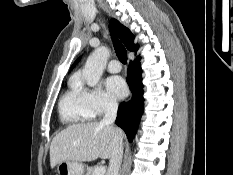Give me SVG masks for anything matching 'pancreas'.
Here are the masks:
<instances>
[{"label":"pancreas","mask_w":233,"mask_h":175,"mask_svg":"<svg viewBox=\"0 0 233 175\" xmlns=\"http://www.w3.org/2000/svg\"><path fill=\"white\" fill-rule=\"evenodd\" d=\"M95 169H96V167H89V168H87L86 175H94Z\"/></svg>","instance_id":"1"}]
</instances>
